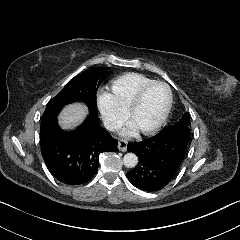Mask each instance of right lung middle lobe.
I'll list each match as a JSON object with an SVG mask.
<instances>
[{
	"mask_svg": "<svg viewBox=\"0 0 240 240\" xmlns=\"http://www.w3.org/2000/svg\"><path fill=\"white\" fill-rule=\"evenodd\" d=\"M108 73V67L91 68L72 78L65 87L50 100L41 119V124L57 118L60 110L67 104L82 101L90 114H97L96 92Z\"/></svg>",
	"mask_w": 240,
	"mask_h": 240,
	"instance_id": "obj_1",
	"label": "right lung middle lobe"
}]
</instances>
